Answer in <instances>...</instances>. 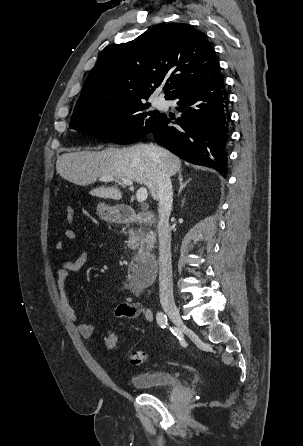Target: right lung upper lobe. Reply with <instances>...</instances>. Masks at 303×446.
Returning a JSON list of instances; mask_svg holds the SVG:
<instances>
[{
    "instance_id": "1",
    "label": "right lung upper lobe",
    "mask_w": 303,
    "mask_h": 446,
    "mask_svg": "<svg viewBox=\"0 0 303 446\" xmlns=\"http://www.w3.org/2000/svg\"><path fill=\"white\" fill-rule=\"evenodd\" d=\"M222 75L205 34L170 23L106 47L90 71L72 116L103 106L147 100L161 83L172 100Z\"/></svg>"
}]
</instances>
